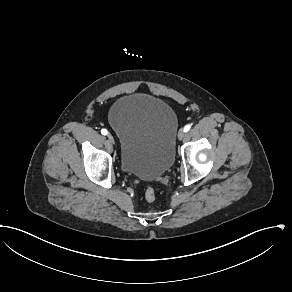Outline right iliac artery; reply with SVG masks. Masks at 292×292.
I'll return each instance as SVG.
<instances>
[{
	"label": "right iliac artery",
	"instance_id": "right-iliac-artery-1",
	"mask_svg": "<svg viewBox=\"0 0 292 292\" xmlns=\"http://www.w3.org/2000/svg\"><path fill=\"white\" fill-rule=\"evenodd\" d=\"M101 133H102L103 135H107V134H108V131H107L106 129H102V130H101Z\"/></svg>",
	"mask_w": 292,
	"mask_h": 292
}]
</instances>
